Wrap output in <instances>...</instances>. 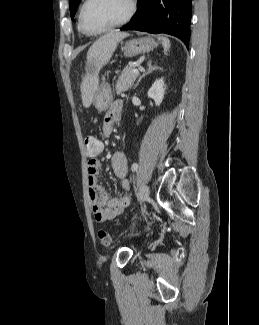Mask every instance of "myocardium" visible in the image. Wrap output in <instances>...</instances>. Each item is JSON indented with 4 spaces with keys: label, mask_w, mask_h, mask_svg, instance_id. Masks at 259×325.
<instances>
[{
    "label": "myocardium",
    "mask_w": 259,
    "mask_h": 325,
    "mask_svg": "<svg viewBox=\"0 0 259 325\" xmlns=\"http://www.w3.org/2000/svg\"><path fill=\"white\" fill-rule=\"evenodd\" d=\"M91 1L92 0L84 1V3L82 4V6L79 10V16H78L80 29L82 30L83 33H85L86 35H90V36L100 35V34H103L105 32L111 31L113 29H116L118 27L125 25L127 22H129L131 20V18L134 16V14L136 12V1L129 0V10L123 19H121L119 22H117L109 27H106L104 29H101L98 31H91L86 28L85 23H84V11Z\"/></svg>",
    "instance_id": "f54148a6"
}]
</instances>
